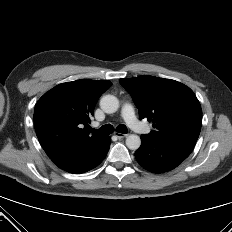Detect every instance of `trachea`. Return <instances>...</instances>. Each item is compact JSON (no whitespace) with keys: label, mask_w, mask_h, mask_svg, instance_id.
<instances>
[{"label":"trachea","mask_w":232,"mask_h":232,"mask_svg":"<svg viewBox=\"0 0 232 232\" xmlns=\"http://www.w3.org/2000/svg\"><path fill=\"white\" fill-rule=\"evenodd\" d=\"M89 131L91 133L98 134V135H109V134L113 133L114 127L111 124H106V125L102 126L99 130L89 128ZM116 131L118 133L126 134L128 130H127V127L125 125L120 124L117 126Z\"/></svg>","instance_id":"1"}]
</instances>
